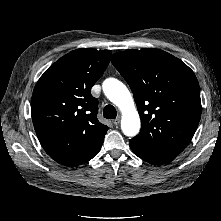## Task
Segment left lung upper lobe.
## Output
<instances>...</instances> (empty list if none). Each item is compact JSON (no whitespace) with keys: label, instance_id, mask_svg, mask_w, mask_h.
Instances as JSON below:
<instances>
[{"label":"left lung upper lobe","instance_id":"left-lung-upper-lobe-1","mask_svg":"<svg viewBox=\"0 0 221 221\" xmlns=\"http://www.w3.org/2000/svg\"><path fill=\"white\" fill-rule=\"evenodd\" d=\"M111 62L129 84L141 118L135 148L178 155L191 141L201 117L200 88L193 71L159 49L127 50Z\"/></svg>","mask_w":221,"mask_h":221}]
</instances>
